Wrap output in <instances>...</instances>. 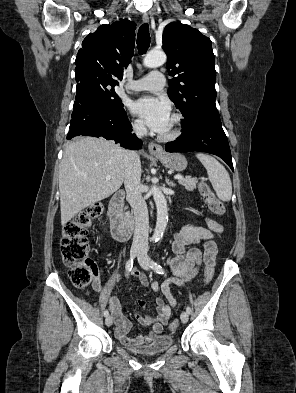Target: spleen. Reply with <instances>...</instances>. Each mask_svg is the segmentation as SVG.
Wrapping results in <instances>:
<instances>
[{
	"label": "spleen",
	"instance_id": "3e777b00",
	"mask_svg": "<svg viewBox=\"0 0 296 393\" xmlns=\"http://www.w3.org/2000/svg\"><path fill=\"white\" fill-rule=\"evenodd\" d=\"M196 157L206 168L209 180L217 197L222 201H230L232 196V183L225 167L210 155L198 153Z\"/></svg>",
	"mask_w": 296,
	"mask_h": 393
}]
</instances>
